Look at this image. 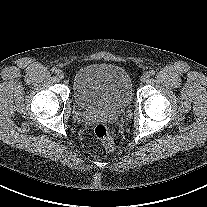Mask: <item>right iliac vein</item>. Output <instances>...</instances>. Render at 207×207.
Instances as JSON below:
<instances>
[{
	"mask_svg": "<svg viewBox=\"0 0 207 207\" xmlns=\"http://www.w3.org/2000/svg\"><path fill=\"white\" fill-rule=\"evenodd\" d=\"M56 74H57V77H58L59 79H63V78H64V72H63L62 70H58V71L56 72Z\"/></svg>",
	"mask_w": 207,
	"mask_h": 207,
	"instance_id": "obj_1",
	"label": "right iliac vein"
}]
</instances>
